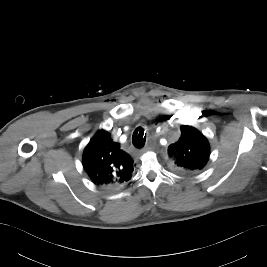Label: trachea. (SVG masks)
<instances>
[{"label":"trachea","instance_id":"1","mask_svg":"<svg viewBox=\"0 0 267 267\" xmlns=\"http://www.w3.org/2000/svg\"><path fill=\"white\" fill-rule=\"evenodd\" d=\"M146 142V134L144 136V130L137 128L132 136V143L136 148H142Z\"/></svg>","mask_w":267,"mask_h":267}]
</instances>
